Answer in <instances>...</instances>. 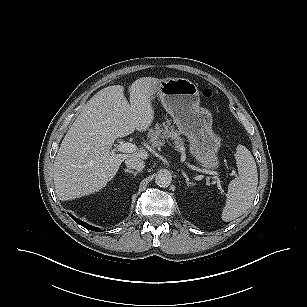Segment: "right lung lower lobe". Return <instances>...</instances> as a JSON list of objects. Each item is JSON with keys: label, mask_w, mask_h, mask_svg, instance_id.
<instances>
[{"label": "right lung lower lobe", "mask_w": 307, "mask_h": 307, "mask_svg": "<svg viewBox=\"0 0 307 307\" xmlns=\"http://www.w3.org/2000/svg\"><path fill=\"white\" fill-rule=\"evenodd\" d=\"M69 215L71 216V218H72L75 222H77L79 225L85 227L86 229H89V230H92V231H96V232L102 231L101 229H99V228H97V227L91 226V225H89V224H87V223H85V222H83V221H81V220H78L77 218H75V217H74L73 215H71V214H69Z\"/></svg>", "instance_id": "right-lung-lower-lobe-1"}]
</instances>
